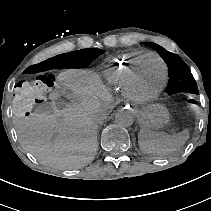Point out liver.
I'll return each mask as SVG.
<instances>
[{
  "label": "liver",
  "mask_w": 211,
  "mask_h": 211,
  "mask_svg": "<svg viewBox=\"0 0 211 211\" xmlns=\"http://www.w3.org/2000/svg\"><path fill=\"white\" fill-rule=\"evenodd\" d=\"M72 93L75 103L64 108L53 104L52 113H32L15 122L23 147L44 164L75 169L91 162L98 149V121L109 101L108 94L86 71L70 70L57 78Z\"/></svg>",
  "instance_id": "6515ba94"
}]
</instances>
